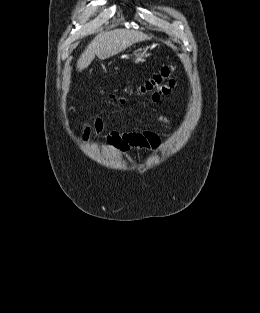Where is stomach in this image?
Masks as SVG:
<instances>
[{"instance_id": "0dacf381", "label": "stomach", "mask_w": 260, "mask_h": 313, "mask_svg": "<svg viewBox=\"0 0 260 313\" xmlns=\"http://www.w3.org/2000/svg\"><path fill=\"white\" fill-rule=\"evenodd\" d=\"M149 55L150 54L147 52V48H139L133 52L131 61L135 64H139L144 62Z\"/></svg>"}]
</instances>
